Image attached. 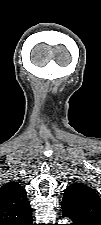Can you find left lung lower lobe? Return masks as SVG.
I'll list each match as a JSON object with an SVG mask.
<instances>
[{"label": "left lung lower lobe", "instance_id": "obj_1", "mask_svg": "<svg viewBox=\"0 0 101 225\" xmlns=\"http://www.w3.org/2000/svg\"><path fill=\"white\" fill-rule=\"evenodd\" d=\"M63 217H69L72 221L71 225H101V223L97 221L84 217H75L65 213H63Z\"/></svg>", "mask_w": 101, "mask_h": 225}]
</instances>
